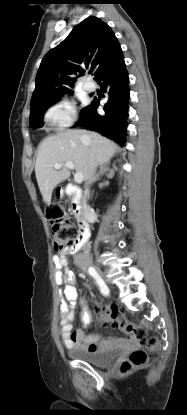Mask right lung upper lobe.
Segmentation results:
<instances>
[{
	"mask_svg": "<svg viewBox=\"0 0 187 415\" xmlns=\"http://www.w3.org/2000/svg\"><path fill=\"white\" fill-rule=\"evenodd\" d=\"M121 48L111 28L90 16L73 28L67 38L42 59L36 75L30 111L53 104L57 96L68 92L86 68L94 79L120 54Z\"/></svg>",
	"mask_w": 187,
	"mask_h": 415,
	"instance_id": "obj_1",
	"label": "right lung upper lobe"
}]
</instances>
